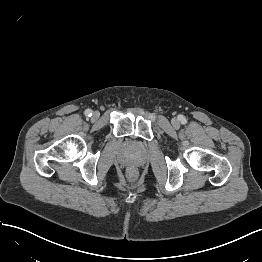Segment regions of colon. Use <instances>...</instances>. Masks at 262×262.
<instances>
[{"label":"colon","instance_id":"1","mask_svg":"<svg viewBox=\"0 0 262 262\" xmlns=\"http://www.w3.org/2000/svg\"><path fill=\"white\" fill-rule=\"evenodd\" d=\"M130 174H131V176H133V177L135 176V172H134V171H131Z\"/></svg>","mask_w":262,"mask_h":262}]
</instances>
